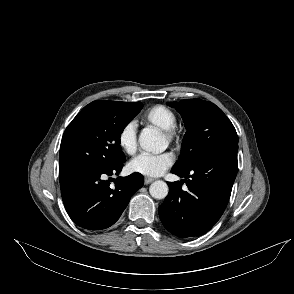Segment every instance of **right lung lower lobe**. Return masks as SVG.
I'll return each mask as SVG.
<instances>
[{
    "label": "right lung lower lobe",
    "mask_w": 294,
    "mask_h": 294,
    "mask_svg": "<svg viewBox=\"0 0 294 294\" xmlns=\"http://www.w3.org/2000/svg\"><path fill=\"white\" fill-rule=\"evenodd\" d=\"M123 163L110 168L67 171L59 174L61 195L70 218L89 230L105 229L113 225L127 207L132 195L143 186L139 173L118 177L115 187L107 176L119 174Z\"/></svg>",
    "instance_id": "98d812e1"
}]
</instances>
